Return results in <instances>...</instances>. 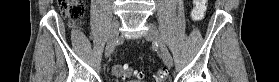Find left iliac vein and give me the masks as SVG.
Returning <instances> with one entry per match:
<instances>
[{"label":"left iliac vein","mask_w":279,"mask_h":82,"mask_svg":"<svg viewBox=\"0 0 279 82\" xmlns=\"http://www.w3.org/2000/svg\"><path fill=\"white\" fill-rule=\"evenodd\" d=\"M147 27H148V30L144 33L145 38L158 43L164 64L168 67H172L173 58H172L167 46L165 45L162 37L160 36L157 27L153 23H150V22H147Z\"/></svg>","instance_id":"left-iliac-vein-1"}]
</instances>
